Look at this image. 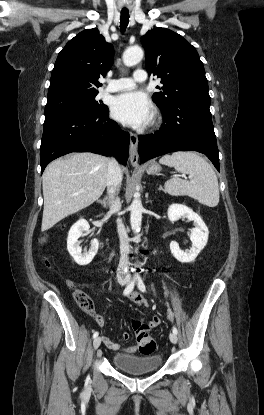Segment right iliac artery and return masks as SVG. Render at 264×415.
<instances>
[{
  "mask_svg": "<svg viewBox=\"0 0 264 415\" xmlns=\"http://www.w3.org/2000/svg\"><path fill=\"white\" fill-rule=\"evenodd\" d=\"M137 277H134V279L128 284V286L124 289L123 294L124 295H129V293H131V291L133 290L135 283H136ZM98 331H95L93 333V338L98 337Z\"/></svg>",
  "mask_w": 264,
  "mask_h": 415,
  "instance_id": "right-iliac-artery-1",
  "label": "right iliac artery"
}]
</instances>
